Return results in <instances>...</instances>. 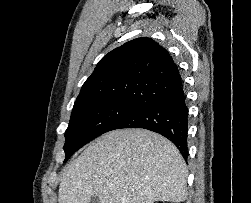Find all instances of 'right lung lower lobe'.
I'll return each instance as SVG.
<instances>
[{
	"mask_svg": "<svg viewBox=\"0 0 251 203\" xmlns=\"http://www.w3.org/2000/svg\"><path fill=\"white\" fill-rule=\"evenodd\" d=\"M188 107L181 85L168 95L149 103L119 122L115 129L143 128L172 141L183 158H188Z\"/></svg>",
	"mask_w": 251,
	"mask_h": 203,
	"instance_id": "right-lung-lower-lobe-1",
	"label": "right lung lower lobe"
}]
</instances>
